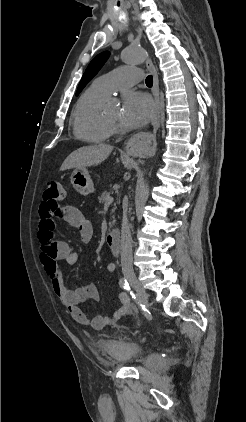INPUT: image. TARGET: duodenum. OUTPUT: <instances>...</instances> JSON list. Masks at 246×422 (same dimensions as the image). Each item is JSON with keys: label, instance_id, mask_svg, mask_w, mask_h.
<instances>
[{"label": "duodenum", "instance_id": "obj_1", "mask_svg": "<svg viewBox=\"0 0 246 422\" xmlns=\"http://www.w3.org/2000/svg\"><path fill=\"white\" fill-rule=\"evenodd\" d=\"M106 242L111 252L118 256L120 254V234L118 230H112L107 234Z\"/></svg>", "mask_w": 246, "mask_h": 422}]
</instances>
